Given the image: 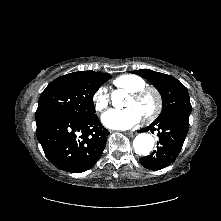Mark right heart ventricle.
<instances>
[{
    "instance_id": "1",
    "label": "right heart ventricle",
    "mask_w": 221,
    "mask_h": 221,
    "mask_svg": "<svg viewBox=\"0 0 221 221\" xmlns=\"http://www.w3.org/2000/svg\"><path fill=\"white\" fill-rule=\"evenodd\" d=\"M114 84L130 93L146 86L143 78L133 74H125L117 77Z\"/></svg>"
}]
</instances>
